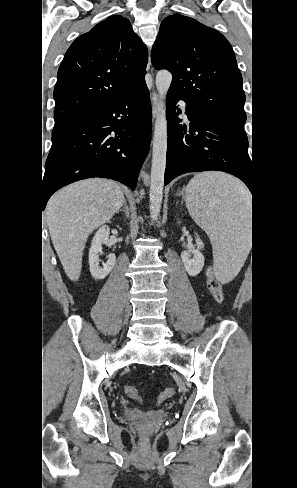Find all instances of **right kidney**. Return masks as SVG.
<instances>
[{"label": "right kidney", "instance_id": "ca27d5eb", "mask_svg": "<svg viewBox=\"0 0 297 488\" xmlns=\"http://www.w3.org/2000/svg\"><path fill=\"white\" fill-rule=\"evenodd\" d=\"M110 228L107 225L102 226L94 235L89 250V266L92 277L96 280L104 279L113 269L116 263L115 254H109L108 260L103 267L99 266V252L102 250V244H106L109 238Z\"/></svg>", "mask_w": 297, "mask_h": 488}]
</instances>
